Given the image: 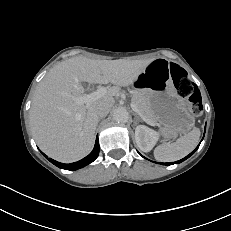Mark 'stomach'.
<instances>
[{
  "label": "stomach",
  "mask_w": 231,
  "mask_h": 231,
  "mask_svg": "<svg viewBox=\"0 0 231 231\" xmlns=\"http://www.w3.org/2000/svg\"><path fill=\"white\" fill-rule=\"evenodd\" d=\"M133 86L149 103L164 138L174 139L194 126L191 105L177 93L166 60L150 62L134 79Z\"/></svg>",
  "instance_id": "1"
}]
</instances>
